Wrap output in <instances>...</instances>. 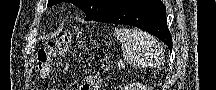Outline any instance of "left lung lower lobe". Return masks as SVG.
Instances as JSON below:
<instances>
[{
  "label": "left lung lower lobe",
  "instance_id": "obj_1",
  "mask_svg": "<svg viewBox=\"0 0 216 90\" xmlns=\"http://www.w3.org/2000/svg\"><path fill=\"white\" fill-rule=\"evenodd\" d=\"M166 8L161 0H126L122 5L99 15L94 21L119 23L141 28L162 40L172 50Z\"/></svg>",
  "mask_w": 216,
  "mask_h": 90
}]
</instances>
